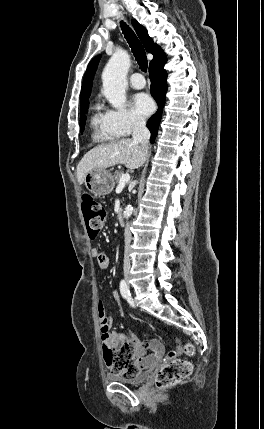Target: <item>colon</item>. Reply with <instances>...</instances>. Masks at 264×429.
I'll use <instances>...</instances> for the list:
<instances>
[{"instance_id": "5ec220e1", "label": "colon", "mask_w": 264, "mask_h": 429, "mask_svg": "<svg viewBox=\"0 0 264 429\" xmlns=\"http://www.w3.org/2000/svg\"><path fill=\"white\" fill-rule=\"evenodd\" d=\"M81 208L91 237H95L107 222L105 208L91 195L83 194ZM98 317L102 330L103 354L107 367L124 377H133L141 369L135 359V351L128 337L121 332H110L104 306L98 305ZM186 354L193 353L190 344L184 345ZM191 364L183 359L173 358L161 367L155 376L157 388L164 389L177 385L191 374Z\"/></svg>"}]
</instances>
